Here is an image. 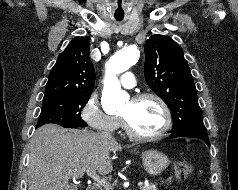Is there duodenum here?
Wrapping results in <instances>:
<instances>
[{"label":"duodenum","mask_w":238,"mask_h":190,"mask_svg":"<svg viewBox=\"0 0 238 190\" xmlns=\"http://www.w3.org/2000/svg\"><path fill=\"white\" fill-rule=\"evenodd\" d=\"M87 190H101V187L98 184H92Z\"/></svg>","instance_id":"obj_1"}]
</instances>
